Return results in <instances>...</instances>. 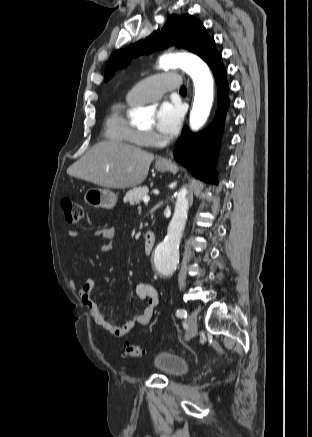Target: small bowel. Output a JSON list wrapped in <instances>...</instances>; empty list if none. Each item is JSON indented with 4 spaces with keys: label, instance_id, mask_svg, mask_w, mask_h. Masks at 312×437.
<instances>
[{
    "label": "small bowel",
    "instance_id": "c3829d8e",
    "mask_svg": "<svg viewBox=\"0 0 312 437\" xmlns=\"http://www.w3.org/2000/svg\"><path fill=\"white\" fill-rule=\"evenodd\" d=\"M115 233V228L109 226L94 231L92 236L96 238H103L105 243L102 245L101 250L109 252L114 247ZM68 235L71 237H77L79 232L69 231ZM96 286V280L89 277L85 280V283L82 287L76 288V291L79 294L82 303L88 308L97 326L116 337H122L131 331L136 325L146 326L150 323L159 303V295L154 286L145 282H141L136 286L137 297L140 300L145 301L146 305L142 312L132 316L123 324L112 323L106 318L100 305L92 296L93 290L96 288Z\"/></svg>",
    "mask_w": 312,
    "mask_h": 437
}]
</instances>
